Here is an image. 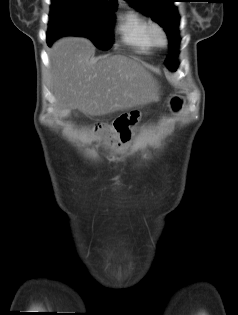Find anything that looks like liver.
<instances>
[{
    "instance_id": "liver-1",
    "label": "liver",
    "mask_w": 238,
    "mask_h": 315,
    "mask_svg": "<svg viewBox=\"0 0 238 315\" xmlns=\"http://www.w3.org/2000/svg\"><path fill=\"white\" fill-rule=\"evenodd\" d=\"M94 54L85 38L67 37L53 45L51 88L61 115L79 109L100 116L158 99L156 80L137 59Z\"/></svg>"
}]
</instances>
